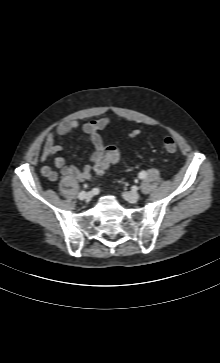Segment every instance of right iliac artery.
I'll use <instances>...</instances> for the list:
<instances>
[{"label": "right iliac artery", "mask_w": 220, "mask_h": 363, "mask_svg": "<svg viewBox=\"0 0 220 363\" xmlns=\"http://www.w3.org/2000/svg\"><path fill=\"white\" fill-rule=\"evenodd\" d=\"M85 194H86V192H85V191L80 192V193H79V196H78V197H79V199H80V200H83V199H84V197H85Z\"/></svg>", "instance_id": "obj_1"}]
</instances>
